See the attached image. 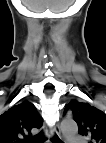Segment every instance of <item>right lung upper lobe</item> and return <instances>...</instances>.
Instances as JSON below:
<instances>
[{
  "label": "right lung upper lobe",
  "mask_w": 106,
  "mask_h": 143,
  "mask_svg": "<svg viewBox=\"0 0 106 143\" xmlns=\"http://www.w3.org/2000/svg\"><path fill=\"white\" fill-rule=\"evenodd\" d=\"M41 126L35 106L23 101L0 115V143H21L31 135L33 128Z\"/></svg>",
  "instance_id": "right-lung-upper-lobe-1"
}]
</instances>
